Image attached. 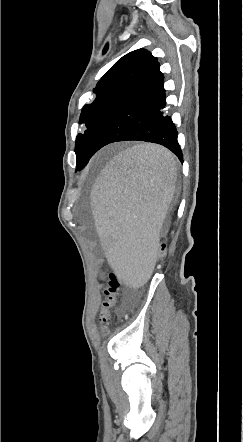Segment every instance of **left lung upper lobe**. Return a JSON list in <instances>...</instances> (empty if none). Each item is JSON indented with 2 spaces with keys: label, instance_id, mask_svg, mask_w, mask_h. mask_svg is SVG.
I'll use <instances>...</instances> for the list:
<instances>
[{
  "label": "left lung upper lobe",
  "instance_id": "left-lung-upper-lobe-1",
  "mask_svg": "<svg viewBox=\"0 0 243 442\" xmlns=\"http://www.w3.org/2000/svg\"><path fill=\"white\" fill-rule=\"evenodd\" d=\"M158 64L157 58L150 52L138 49L123 56L103 75L93 89L95 99L83 107L80 115L79 123L84 124L86 130L76 137V170L85 166V152L103 120Z\"/></svg>",
  "mask_w": 243,
  "mask_h": 442
}]
</instances>
